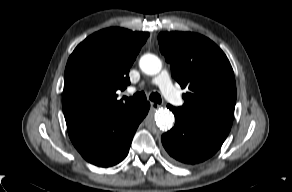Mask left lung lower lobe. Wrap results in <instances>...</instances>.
<instances>
[{
  "label": "left lung lower lobe",
  "mask_w": 292,
  "mask_h": 192,
  "mask_svg": "<svg viewBox=\"0 0 292 192\" xmlns=\"http://www.w3.org/2000/svg\"><path fill=\"white\" fill-rule=\"evenodd\" d=\"M167 107L175 115V125L162 135L161 140L167 153L178 163L196 164L210 158L230 132L225 126L184 120L171 105Z\"/></svg>",
  "instance_id": "left-lung-lower-lobe-1"
}]
</instances>
